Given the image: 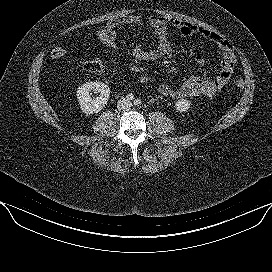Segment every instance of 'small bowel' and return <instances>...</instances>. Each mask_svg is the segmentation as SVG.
Here are the masks:
<instances>
[{
  "label": "small bowel",
  "mask_w": 272,
  "mask_h": 272,
  "mask_svg": "<svg viewBox=\"0 0 272 272\" xmlns=\"http://www.w3.org/2000/svg\"><path fill=\"white\" fill-rule=\"evenodd\" d=\"M145 25L152 30L153 42L150 46L140 45L133 49V57L138 61H155L172 54V45L168 39L169 28L176 29L184 37L200 35L216 45L222 53L220 68L215 76L210 75L206 59L202 56H197L195 62L205 73L201 76H191L178 86H171L165 82L160 83L158 91L162 95L174 99L196 97L212 98L230 79L237 61L234 49L224 37L206 28L164 16H152L143 19L136 15H125L109 21L104 29L117 35L121 27H143Z\"/></svg>",
  "instance_id": "obj_1"
}]
</instances>
